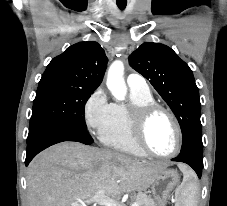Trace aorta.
<instances>
[{
	"instance_id": "obj_1",
	"label": "aorta",
	"mask_w": 227,
	"mask_h": 206,
	"mask_svg": "<svg viewBox=\"0 0 227 206\" xmlns=\"http://www.w3.org/2000/svg\"><path fill=\"white\" fill-rule=\"evenodd\" d=\"M123 75V63L121 61H114L109 67L106 85L113 97L118 101H123L127 94V87Z\"/></svg>"
}]
</instances>
